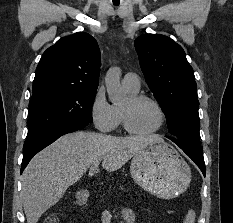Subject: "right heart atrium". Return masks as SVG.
I'll use <instances>...</instances> for the list:
<instances>
[{
  "mask_svg": "<svg viewBox=\"0 0 233 223\" xmlns=\"http://www.w3.org/2000/svg\"><path fill=\"white\" fill-rule=\"evenodd\" d=\"M90 116L94 126L101 132H112L118 127L114 106L107 101L103 90H98L94 95Z\"/></svg>",
  "mask_w": 233,
  "mask_h": 223,
  "instance_id": "right-heart-atrium-1",
  "label": "right heart atrium"
}]
</instances>
